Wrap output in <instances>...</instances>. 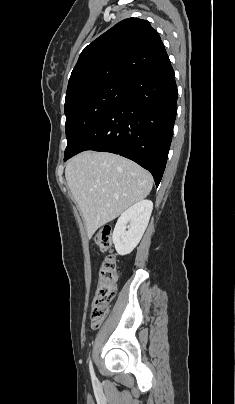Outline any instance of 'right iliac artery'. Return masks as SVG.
<instances>
[{"instance_id": "right-iliac-artery-1", "label": "right iliac artery", "mask_w": 235, "mask_h": 404, "mask_svg": "<svg viewBox=\"0 0 235 404\" xmlns=\"http://www.w3.org/2000/svg\"><path fill=\"white\" fill-rule=\"evenodd\" d=\"M89 368H90V373H91V378L94 381L96 379L95 374H94V370H93V366H92V361L90 359V363H89Z\"/></svg>"}]
</instances>
